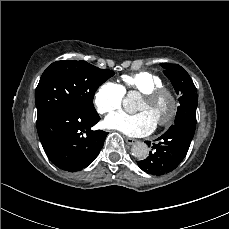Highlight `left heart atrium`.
Instances as JSON below:
<instances>
[{"instance_id":"obj_1","label":"left heart atrium","mask_w":229,"mask_h":229,"mask_svg":"<svg viewBox=\"0 0 229 229\" xmlns=\"http://www.w3.org/2000/svg\"><path fill=\"white\" fill-rule=\"evenodd\" d=\"M155 124L156 121L144 111L136 114L120 111L109 115L104 121L106 128L115 129L134 137L149 134L155 128Z\"/></svg>"}]
</instances>
